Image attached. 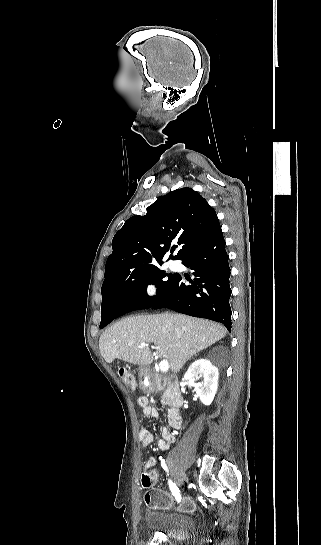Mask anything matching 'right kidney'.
Listing matches in <instances>:
<instances>
[{
  "mask_svg": "<svg viewBox=\"0 0 321 545\" xmlns=\"http://www.w3.org/2000/svg\"><path fill=\"white\" fill-rule=\"evenodd\" d=\"M204 377V385L197 387L195 381L196 377ZM218 370H215L214 365L207 361V359H198L190 365L188 371L184 375L183 381H185L188 387H195L197 397H199L203 405H211L216 391L218 389Z\"/></svg>",
  "mask_w": 321,
  "mask_h": 545,
  "instance_id": "obj_1",
  "label": "right kidney"
}]
</instances>
